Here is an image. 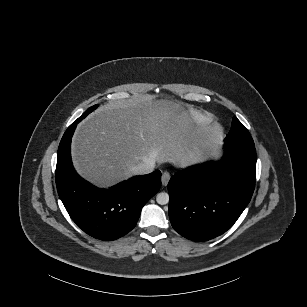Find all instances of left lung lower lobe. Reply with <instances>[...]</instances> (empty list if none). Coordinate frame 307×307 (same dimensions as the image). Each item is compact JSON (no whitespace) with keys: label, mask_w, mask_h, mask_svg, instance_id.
<instances>
[{"label":"left lung lower lobe","mask_w":307,"mask_h":307,"mask_svg":"<svg viewBox=\"0 0 307 307\" xmlns=\"http://www.w3.org/2000/svg\"><path fill=\"white\" fill-rule=\"evenodd\" d=\"M255 172L254 143L233 141H225L219 162L176 172L168 184L173 228L193 241H207L226 232L250 202Z\"/></svg>","instance_id":"1"}]
</instances>
